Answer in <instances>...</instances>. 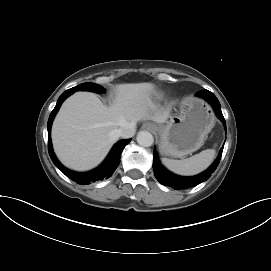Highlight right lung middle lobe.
Here are the masks:
<instances>
[{"label":"right lung middle lobe","mask_w":271,"mask_h":271,"mask_svg":"<svg viewBox=\"0 0 271 271\" xmlns=\"http://www.w3.org/2000/svg\"><path fill=\"white\" fill-rule=\"evenodd\" d=\"M69 90L73 91V92L80 91V90H88V91H93L96 93H104L105 92V89L102 86L97 85L95 83H83V84H80V85L73 87Z\"/></svg>","instance_id":"dd1d6c3e"}]
</instances>
